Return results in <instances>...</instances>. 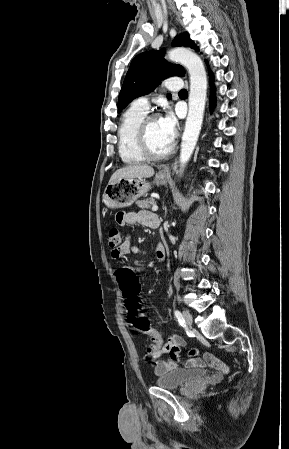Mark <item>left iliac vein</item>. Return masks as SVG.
<instances>
[{"mask_svg": "<svg viewBox=\"0 0 289 449\" xmlns=\"http://www.w3.org/2000/svg\"><path fill=\"white\" fill-rule=\"evenodd\" d=\"M183 317L189 326L192 325L193 317L188 311L183 312Z\"/></svg>", "mask_w": 289, "mask_h": 449, "instance_id": "obj_1", "label": "left iliac vein"}]
</instances>
